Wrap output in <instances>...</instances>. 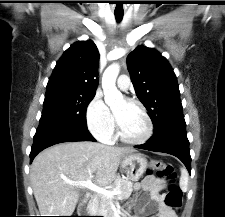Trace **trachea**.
Masks as SVG:
<instances>
[{"label": "trachea", "mask_w": 225, "mask_h": 217, "mask_svg": "<svg viewBox=\"0 0 225 217\" xmlns=\"http://www.w3.org/2000/svg\"><path fill=\"white\" fill-rule=\"evenodd\" d=\"M116 21L119 23L123 18V13H115Z\"/></svg>", "instance_id": "obj_1"}]
</instances>
